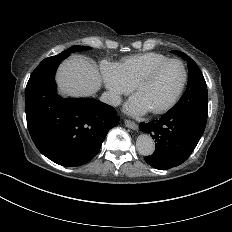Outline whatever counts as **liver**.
<instances>
[{"instance_id":"1","label":"liver","mask_w":232,"mask_h":232,"mask_svg":"<svg viewBox=\"0 0 232 232\" xmlns=\"http://www.w3.org/2000/svg\"><path fill=\"white\" fill-rule=\"evenodd\" d=\"M56 81L61 94L92 96L100 89L102 78L97 64L82 55H72L57 72Z\"/></svg>"}]
</instances>
